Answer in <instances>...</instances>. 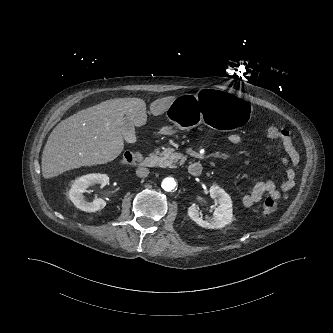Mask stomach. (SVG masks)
<instances>
[{"mask_svg": "<svg viewBox=\"0 0 333 333\" xmlns=\"http://www.w3.org/2000/svg\"><path fill=\"white\" fill-rule=\"evenodd\" d=\"M167 115L175 126L162 127V134L170 135L177 129H187L199 120L214 130L228 131L247 125L251 117V107L240 95L207 88L196 95L186 94L172 99Z\"/></svg>", "mask_w": 333, "mask_h": 333, "instance_id": "0dacf381", "label": "stomach"}]
</instances>
